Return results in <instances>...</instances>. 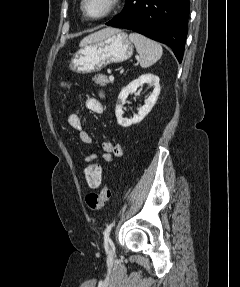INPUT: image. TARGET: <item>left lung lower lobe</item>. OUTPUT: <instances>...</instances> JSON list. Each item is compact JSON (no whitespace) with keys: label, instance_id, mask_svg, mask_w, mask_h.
<instances>
[{"label":"left lung lower lobe","instance_id":"left-lung-lower-lobe-1","mask_svg":"<svg viewBox=\"0 0 240 287\" xmlns=\"http://www.w3.org/2000/svg\"><path fill=\"white\" fill-rule=\"evenodd\" d=\"M189 0H128L106 25L126 28L169 45L181 63L187 36Z\"/></svg>","mask_w":240,"mask_h":287}]
</instances>
